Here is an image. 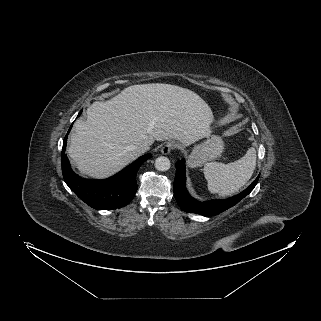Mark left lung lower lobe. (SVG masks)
I'll list each match as a JSON object with an SVG mask.
<instances>
[{
	"label": "left lung lower lobe",
	"instance_id": "0a47b994",
	"mask_svg": "<svg viewBox=\"0 0 321 321\" xmlns=\"http://www.w3.org/2000/svg\"><path fill=\"white\" fill-rule=\"evenodd\" d=\"M259 176L247 189L234 197L225 200L201 203L191 197L185 187V160L182 159L176 163V176L173 186L174 197L180 208L185 212L196 213L203 216H214L234 206L247 196L256 186Z\"/></svg>",
	"mask_w": 321,
	"mask_h": 321
}]
</instances>
